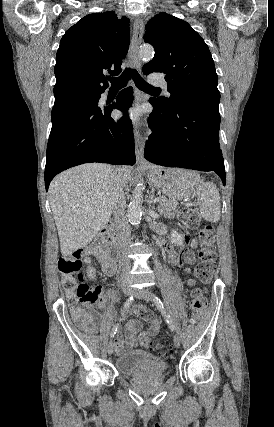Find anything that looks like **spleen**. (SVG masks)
I'll list each match as a JSON object with an SVG mask.
<instances>
[{"label": "spleen", "instance_id": "obj_1", "mask_svg": "<svg viewBox=\"0 0 274 427\" xmlns=\"http://www.w3.org/2000/svg\"><path fill=\"white\" fill-rule=\"evenodd\" d=\"M197 206L200 214L207 221H219L221 215L220 194L213 182H204L197 188Z\"/></svg>", "mask_w": 274, "mask_h": 427}]
</instances>
